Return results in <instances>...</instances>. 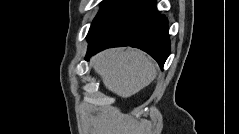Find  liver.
<instances>
[{
	"instance_id": "6515ba94",
	"label": "liver",
	"mask_w": 239,
	"mask_h": 134,
	"mask_svg": "<svg viewBox=\"0 0 239 134\" xmlns=\"http://www.w3.org/2000/svg\"><path fill=\"white\" fill-rule=\"evenodd\" d=\"M91 64L105 87L121 98L138 93L157 75L152 59L136 49H108L94 56Z\"/></svg>"
}]
</instances>
